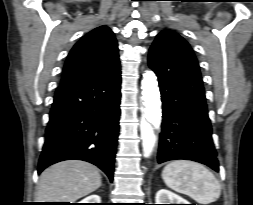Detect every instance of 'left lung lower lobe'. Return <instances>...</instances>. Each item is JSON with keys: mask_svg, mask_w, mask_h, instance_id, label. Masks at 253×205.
Instances as JSON below:
<instances>
[{"mask_svg": "<svg viewBox=\"0 0 253 205\" xmlns=\"http://www.w3.org/2000/svg\"><path fill=\"white\" fill-rule=\"evenodd\" d=\"M162 97L158 163L186 159L219 170L197 59L180 36L161 32L148 56Z\"/></svg>", "mask_w": 253, "mask_h": 205, "instance_id": "1", "label": "left lung lower lobe"}]
</instances>
